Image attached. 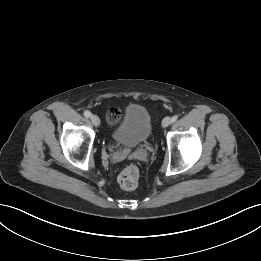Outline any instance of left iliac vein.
<instances>
[{
    "label": "left iliac vein",
    "instance_id": "left-iliac-vein-1",
    "mask_svg": "<svg viewBox=\"0 0 261 261\" xmlns=\"http://www.w3.org/2000/svg\"><path fill=\"white\" fill-rule=\"evenodd\" d=\"M171 124V118L170 117H165L162 120V126L163 127H168Z\"/></svg>",
    "mask_w": 261,
    "mask_h": 261
}]
</instances>
